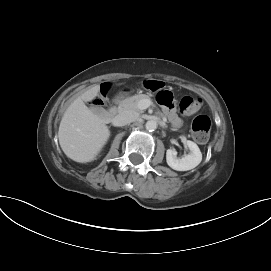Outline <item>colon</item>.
<instances>
[{
  "mask_svg": "<svg viewBox=\"0 0 271 271\" xmlns=\"http://www.w3.org/2000/svg\"><path fill=\"white\" fill-rule=\"evenodd\" d=\"M142 85L145 89L156 92L158 102L165 106L169 107L173 104V95L170 91L165 89L164 84L155 79H147L142 82ZM108 91V88H104L102 93L105 95ZM100 100H96V104H100ZM201 105V100L197 97L193 96H184L179 103V108L182 113L192 114L199 110ZM192 135L193 138L198 143H205L208 140L210 129H211V121L206 115H198L192 121Z\"/></svg>",
  "mask_w": 271,
  "mask_h": 271,
  "instance_id": "5ec220e1",
  "label": "colon"
}]
</instances>
